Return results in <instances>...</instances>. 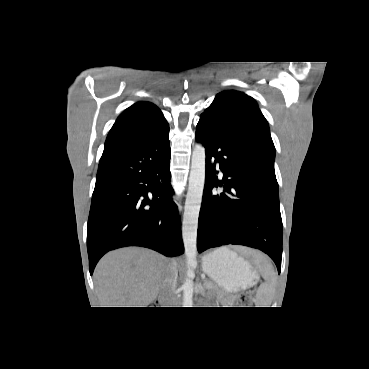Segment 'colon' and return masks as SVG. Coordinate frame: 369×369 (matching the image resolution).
Segmentation results:
<instances>
[{
	"instance_id": "1",
	"label": "colon",
	"mask_w": 369,
	"mask_h": 369,
	"mask_svg": "<svg viewBox=\"0 0 369 369\" xmlns=\"http://www.w3.org/2000/svg\"><path fill=\"white\" fill-rule=\"evenodd\" d=\"M252 299H253V294L247 293L240 297V303L242 304V306H249L252 302Z\"/></svg>"
}]
</instances>
